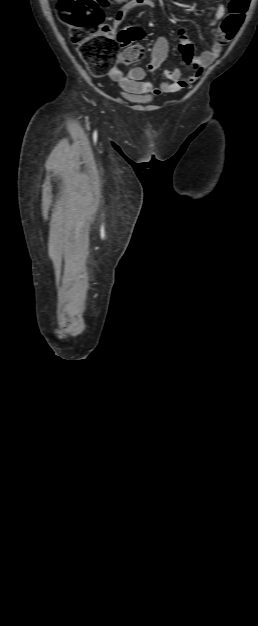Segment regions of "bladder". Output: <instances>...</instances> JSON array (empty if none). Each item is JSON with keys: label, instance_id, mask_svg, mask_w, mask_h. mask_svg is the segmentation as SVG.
Segmentation results:
<instances>
[{"label": "bladder", "instance_id": "1", "mask_svg": "<svg viewBox=\"0 0 258 626\" xmlns=\"http://www.w3.org/2000/svg\"><path fill=\"white\" fill-rule=\"evenodd\" d=\"M123 96L128 99L129 101L135 102V103H141V104H146L152 101V97L148 96V95H129V94H123Z\"/></svg>", "mask_w": 258, "mask_h": 626}]
</instances>
